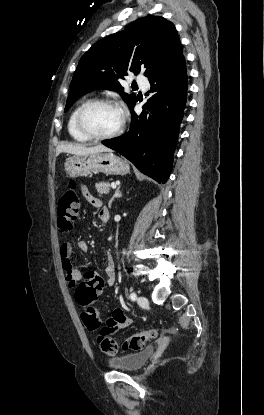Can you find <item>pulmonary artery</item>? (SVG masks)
<instances>
[{"label": "pulmonary artery", "mask_w": 264, "mask_h": 415, "mask_svg": "<svg viewBox=\"0 0 264 415\" xmlns=\"http://www.w3.org/2000/svg\"><path fill=\"white\" fill-rule=\"evenodd\" d=\"M137 84H139L141 86V88L143 90H146V88L148 87V81L146 80V78L138 76L135 78Z\"/></svg>", "instance_id": "1"}]
</instances>
